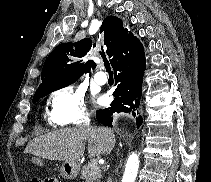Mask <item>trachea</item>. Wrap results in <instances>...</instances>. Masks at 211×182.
<instances>
[{
    "label": "trachea",
    "mask_w": 211,
    "mask_h": 182,
    "mask_svg": "<svg viewBox=\"0 0 211 182\" xmlns=\"http://www.w3.org/2000/svg\"><path fill=\"white\" fill-rule=\"evenodd\" d=\"M104 66L106 68V71L108 72L109 75H112V70H111V67H110V63L107 59H104Z\"/></svg>",
    "instance_id": "1"
}]
</instances>
